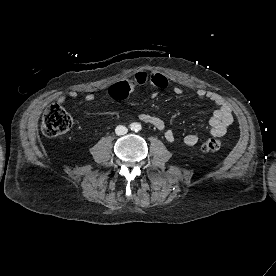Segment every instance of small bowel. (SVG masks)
<instances>
[{
  "mask_svg": "<svg viewBox=\"0 0 276 276\" xmlns=\"http://www.w3.org/2000/svg\"><path fill=\"white\" fill-rule=\"evenodd\" d=\"M147 84L157 89H166L168 87V80L163 74L157 71H141L132 78L113 85L109 90V96L114 99H122L137 88ZM172 90L177 95L182 94V89L178 86L173 87ZM196 95L202 98H207L215 103L216 109L212 113V116L209 120V132L215 137L224 136L227 133L229 126L233 122V115L229 103L220 94L203 88H198L196 90ZM76 97L77 93L75 91H71L65 95H61L57 101L59 103H64L68 99H74ZM95 101L96 96L94 94H87L79 103L90 105ZM139 119L142 122L150 124L157 130L163 132L166 141L170 143L175 141V133L172 130L167 129L165 122L161 118L150 115L148 113H140ZM198 141L199 137L196 134H187L183 138V142L187 146H193L197 144Z\"/></svg>",
  "mask_w": 276,
  "mask_h": 276,
  "instance_id": "obj_1",
  "label": "small bowel"
}]
</instances>
